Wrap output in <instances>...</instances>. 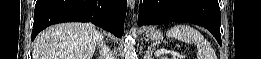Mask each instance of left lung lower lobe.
<instances>
[{
    "instance_id": "left-lung-lower-lobe-1",
    "label": "left lung lower lobe",
    "mask_w": 261,
    "mask_h": 59,
    "mask_svg": "<svg viewBox=\"0 0 261 59\" xmlns=\"http://www.w3.org/2000/svg\"><path fill=\"white\" fill-rule=\"evenodd\" d=\"M189 22L208 29L221 45L218 0H143L139 6V26Z\"/></svg>"
}]
</instances>
